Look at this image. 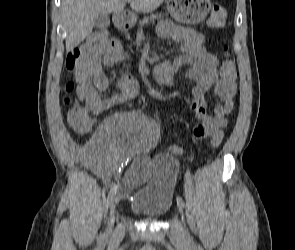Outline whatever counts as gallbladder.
I'll return each instance as SVG.
<instances>
[{"instance_id": "obj_1", "label": "gallbladder", "mask_w": 295, "mask_h": 250, "mask_svg": "<svg viewBox=\"0 0 295 250\" xmlns=\"http://www.w3.org/2000/svg\"><path fill=\"white\" fill-rule=\"evenodd\" d=\"M110 24V18L108 15L100 14L95 18L94 26L99 29H105Z\"/></svg>"}]
</instances>
